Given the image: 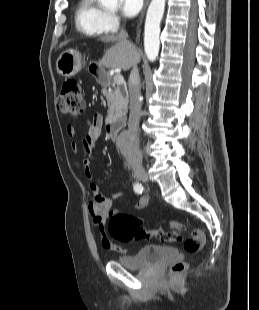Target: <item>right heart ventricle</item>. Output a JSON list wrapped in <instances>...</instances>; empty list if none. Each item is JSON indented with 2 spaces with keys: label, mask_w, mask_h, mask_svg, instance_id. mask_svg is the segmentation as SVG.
<instances>
[{
  "label": "right heart ventricle",
  "mask_w": 259,
  "mask_h": 310,
  "mask_svg": "<svg viewBox=\"0 0 259 310\" xmlns=\"http://www.w3.org/2000/svg\"><path fill=\"white\" fill-rule=\"evenodd\" d=\"M106 12L97 0H79L75 24L78 31L87 35H100L108 32L105 27Z\"/></svg>",
  "instance_id": "right-heart-ventricle-1"
}]
</instances>
